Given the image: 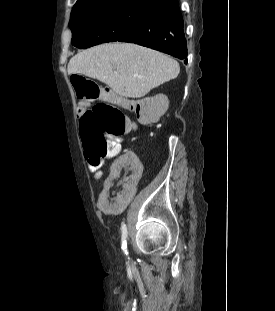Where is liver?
Returning a JSON list of instances; mask_svg holds the SVG:
<instances>
[{"mask_svg":"<svg viewBox=\"0 0 275 311\" xmlns=\"http://www.w3.org/2000/svg\"><path fill=\"white\" fill-rule=\"evenodd\" d=\"M179 63L158 51L131 43L98 45L72 57L68 74H83L108 85L116 94L140 98L175 79Z\"/></svg>","mask_w":275,"mask_h":311,"instance_id":"1","label":"liver"}]
</instances>
